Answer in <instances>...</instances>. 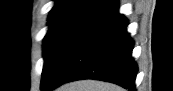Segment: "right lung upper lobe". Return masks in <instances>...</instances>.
Instances as JSON below:
<instances>
[{
  "mask_svg": "<svg viewBox=\"0 0 173 91\" xmlns=\"http://www.w3.org/2000/svg\"><path fill=\"white\" fill-rule=\"evenodd\" d=\"M105 1L107 0H57L50 11L49 25L64 22L86 23L110 8V6H103Z\"/></svg>",
  "mask_w": 173,
  "mask_h": 91,
  "instance_id": "1",
  "label": "right lung upper lobe"
}]
</instances>
